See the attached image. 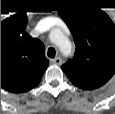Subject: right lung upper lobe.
I'll return each instance as SVG.
<instances>
[{
  "label": "right lung upper lobe",
  "mask_w": 115,
  "mask_h": 114,
  "mask_svg": "<svg viewBox=\"0 0 115 114\" xmlns=\"http://www.w3.org/2000/svg\"><path fill=\"white\" fill-rule=\"evenodd\" d=\"M26 25L22 15L1 22V87L13 93L36 87L49 64L43 43L25 32Z\"/></svg>",
  "instance_id": "cb5924a9"
}]
</instances>
